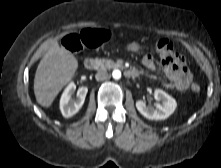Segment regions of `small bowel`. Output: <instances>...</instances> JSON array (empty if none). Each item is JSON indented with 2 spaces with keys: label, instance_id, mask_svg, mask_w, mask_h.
<instances>
[{
  "label": "small bowel",
  "instance_id": "obj_1",
  "mask_svg": "<svg viewBox=\"0 0 221 168\" xmlns=\"http://www.w3.org/2000/svg\"><path fill=\"white\" fill-rule=\"evenodd\" d=\"M162 57V67L165 75L170 80L165 84L167 88L176 89L178 91L187 90L192 83V77L188 69L187 60L178 53L168 54L167 56L160 54ZM142 64L149 70L155 69V62L152 54L147 53L142 58Z\"/></svg>",
  "mask_w": 221,
  "mask_h": 168
}]
</instances>
